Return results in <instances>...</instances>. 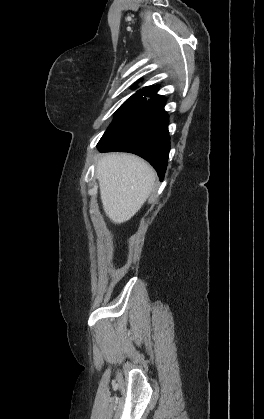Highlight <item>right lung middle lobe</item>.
<instances>
[{"label": "right lung middle lobe", "mask_w": 264, "mask_h": 419, "mask_svg": "<svg viewBox=\"0 0 264 419\" xmlns=\"http://www.w3.org/2000/svg\"><path fill=\"white\" fill-rule=\"evenodd\" d=\"M147 101L146 97L140 94H134L128 98L116 111L114 120L100 139L98 147L107 144L127 129L137 118Z\"/></svg>", "instance_id": "obj_1"}]
</instances>
